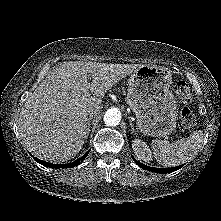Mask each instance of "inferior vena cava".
<instances>
[{
	"label": "inferior vena cava",
	"instance_id": "inferior-vena-cava-1",
	"mask_svg": "<svg viewBox=\"0 0 221 221\" xmlns=\"http://www.w3.org/2000/svg\"><path fill=\"white\" fill-rule=\"evenodd\" d=\"M99 111H100L99 108L92 107V108H89L87 112H88L89 117H93V116L97 115L99 113Z\"/></svg>",
	"mask_w": 221,
	"mask_h": 221
}]
</instances>
